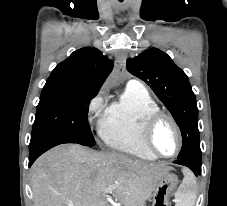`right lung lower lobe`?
<instances>
[{"label": "right lung lower lobe", "instance_id": "right-lung-lower-lobe-1", "mask_svg": "<svg viewBox=\"0 0 227 206\" xmlns=\"http://www.w3.org/2000/svg\"><path fill=\"white\" fill-rule=\"evenodd\" d=\"M63 143H74V142L63 136L51 135V136L43 137L37 140L36 142L30 143L29 167L41 154L51 149L52 147Z\"/></svg>", "mask_w": 227, "mask_h": 206}]
</instances>
